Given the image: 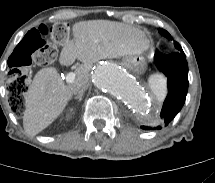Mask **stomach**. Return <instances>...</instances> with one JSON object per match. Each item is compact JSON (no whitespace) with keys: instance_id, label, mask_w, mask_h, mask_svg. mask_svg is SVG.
I'll return each mask as SVG.
<instances>
[{"instance_id":"0dacf381","label":"stomach","mask_w":215,"mask_h":183,"mask_svg":"<svg viewBox=\"0 0 215 183\" xmlns=\"http://www.w3.org/2000/svg\"><path fill=\"white\" fill-rule=\"evenodd\" d=\"M125 64L137 70H140L144 67V59L140 56H127L124 58Z\"/></svg>"}]
</instances>
